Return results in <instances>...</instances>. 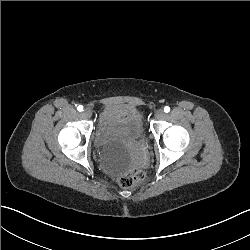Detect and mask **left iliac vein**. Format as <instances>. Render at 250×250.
I'll list each match as a JSON object with an SVG mask.
<instances>
[{
	"label": "left iliac vein",
	"mask_w": 250,
	"mask_h": 250,
	"mask_svg": "<svg viewBox=\"0 0 250 250\" xmlns=\"http://www.w3.org/2000/svg\"><path fill=\"white\" fill-rule=\"evenodd\" d=\"M164 117H165L164 111L162 109H158L155 113V118L161 120Z\"/></svg>",
	"instance_id": "1"
}]
</instances>
